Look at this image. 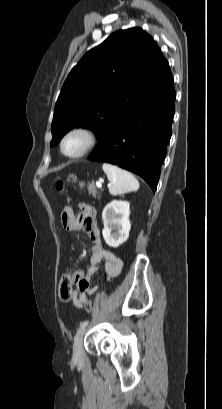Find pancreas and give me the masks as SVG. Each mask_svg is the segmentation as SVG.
I'll return each mask as SVG.
<instances>
[{"instance_id": "cf45deb5", "label": "pancreas", "mask_w": 222, "mask_h": 409, "mask_svg": "<svg viewBox=\"0 0 222 409\" xmlns=\"http://www.w3.org/2000/svg\"><path fill=\"white\" fill-rule=\"evenodd\" d=\"M88 192L89 194H92V196H96L98 194V191L94 185V182H91L88 184Z\"/></svg>"}]
</instances>
